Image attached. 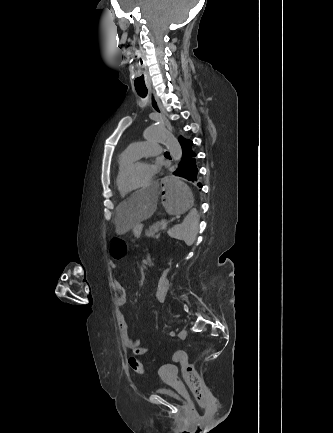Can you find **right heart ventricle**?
<instances>
[{"label":"right heart ventricle","mask_w":333,"mask_h":433,"mask_svg":"<svg viewBox=\"0 0 333 433\" xmlns=\"http://www.w3.org/2000/svg\"><path fill=\"white\" fill-rule=\"evenodd\" d=\"M137 157H135L128 149H126L125 151H123L120 156L118 157L117 160V167H116V174H115V187L116 190L118 191V193L120 194L121 197H125L127 194L122 192L119 188V177L123 171V169L130 164L131 162H133L134 160H136Z\"/></svg>","instance_id":"1"}]
</instances>
